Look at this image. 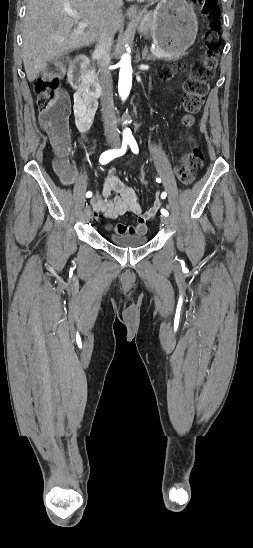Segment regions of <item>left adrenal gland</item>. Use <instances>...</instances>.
Here are the masks:
<instances>
[{"label":"left adrenal gland","mask_w":253,"mask_h":548,"mask_svg":"<svg viewBox=\"0 0 253 548\" xmlns=\"http://www.w3.org/2000/svg\"><path fill=\"white\" fill-rule=\"evenodd\" d=\"M142 60L150 61L153 60L152 55L148 54V48L145 46L143 52H142Z\"/></svg>","instance_id":"1"}]
</instances>
